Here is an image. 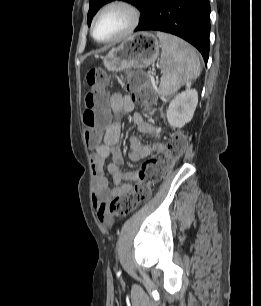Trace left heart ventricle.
Wrapping results in <instances>:
<instances>
[{
  "label": "left heart ventricle",
  "instance_id": "left-heart-ventricle-1",
  "mask_svg": "<svg viewBox=\"0 0 261 306\" xmlns=\"http://www.w3.org/2000/svg\"><path fill=\"white\" fill-rule=\"evenodd\" d=\"M128 12L121 8L106 11L98 20L95 36L100 40L108 39L120 34L129 24Z\"/></svg>",
  "mask_w": 261,
  "mask_h": 306
}]
</instances>
